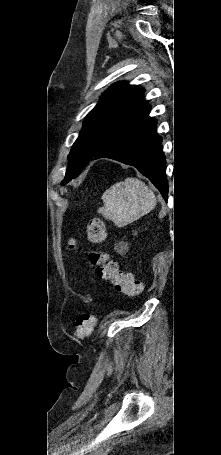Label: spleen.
Here are the masks:
<instances>
[{"label": "spleen", "mask_w": 221, "mask_h": 455, "mask_svg": "<svg viewBox=\"0 0 221 455\" xmlns=\"http://www.w3.org/2000/svg\"><path fill=\"white\" fill-rule=\"evenodd\" d=\"M102 200L104 207L98 212L118 227L138 220L152 211L157 203L153 191L133 177L112 185L103 193Z\"/></svg>", "instance_id": "3e777b00"}]
</instances>
